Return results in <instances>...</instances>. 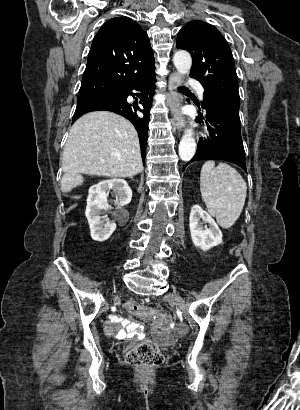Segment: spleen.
Masks as SVG:
<instances>
[{"label":"spleen","instance_id":"obj_1","mask_svg":"<svg viewBox=\"0 0 300 410\" xmlns=\"http://www.w3.org/2000/svg\"><path fill=\"white\" fill-rule=\"evenodd\" d=\"M200 191L208 212L222 228H230L245 204L247 185L236 169L226 163L207 161L200 174Z\"/></svg>","mask_w":300,"mask_h":410}]
</instances>
